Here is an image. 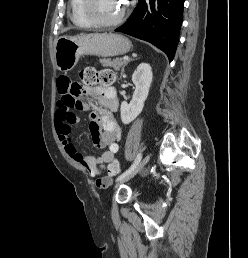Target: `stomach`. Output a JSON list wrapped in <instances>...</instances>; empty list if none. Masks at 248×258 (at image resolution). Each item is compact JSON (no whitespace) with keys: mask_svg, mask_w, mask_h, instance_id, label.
Segmentation results:
<instances>
[{"mask_svg":"<svg viewBox=\"0 0 248 258\" xmlns=\"http://www.w3.org/2000/svg\"><path fill=\"white\" fill-rule=\"evenodd\" d=\"M131 42L120 34L95 33L76 37L61 36L55 41V64L59 71L68 72L78 63L82 55L110 57L130 51Z\"/></svg>","mask_w":248,"mask_h":258,"instance_id":"obj_1","label":"stomach"}]
</instances>
